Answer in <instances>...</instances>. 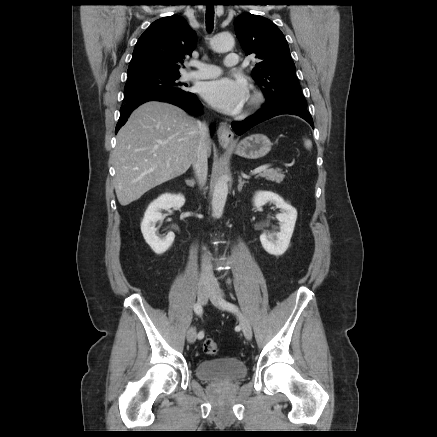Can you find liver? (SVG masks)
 I'll return each mask as SVG.
<instances>
[{"label": "liver", "instance_id": "1", "mask_svg": "<svg viewBox=\"0 0 437 437\" xmlns=\"http://www.w3.org/2000/svg\"><path fill=\"white\" fill-rule=\"evenodd\" d=\"M116 139L114 187L126 206L189 169L200 139L199 121L177 106L150 101L131 113Z\"/></svg>", "mask_w": 437, "mask_h": 437}]
</instances>
